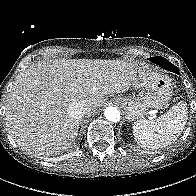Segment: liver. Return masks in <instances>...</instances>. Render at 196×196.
Instances as JSON below:
<instances>
[{
  "label": "liver",
  "mask_w": 196,
  "mask_h": 196,
  "mask_svg": "<svg viewBox=\"0 0 196 196\" xmlns=\"http://www.w3.org/2000/svg\"><path fill=\"white\" fill-rule=\"evenodd\" d=\"M135 80V64L123 60L56 59L30 65L16 78L7 98L5 125L23 150L52 155L67 150L78 135L79 120L68 114L72 103L86 113L104 97L124 93Z\"/></svg>",
  "instance_id": "6515ba94"
}]
</instances>
